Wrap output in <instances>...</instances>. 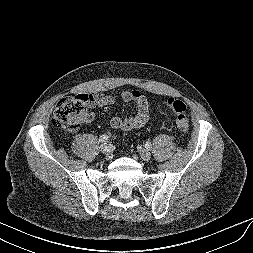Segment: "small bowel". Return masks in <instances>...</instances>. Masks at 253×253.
<instances>
[{
  "mask_svg": "<svg viewBox=\"0 0 253 253\" xmlns=\"http://www.w3.org/2000/svg\"><path fill=\"white\" fill-rule=\"evenodd\" d=\"M84 95L88 98L90 107L111 105L116 100L113 96L99 92ZM120 99L126 103H133L136 107V111L125 118H120L118 116L111 117L109 121L110 127L112 129H121L125 131L143 127L148 121L149 102L147 97L138 90H126L121 93Z\"/></svg>",
  "mask_w": 253,
  "mask_h": 253,
  "instance_id": "c3829d8e",
  "label": "small bowel"
}]
</instances>
